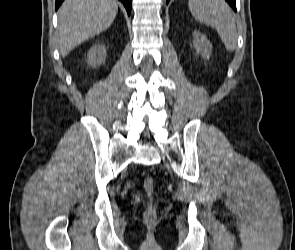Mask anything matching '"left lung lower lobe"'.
Listing matches in <instances>:
<instances>
[{
	"instance_id": "left-lung-lower-lobe-1",
	"label": "left lung lower lobe",
	"mask_w": 295,
	"mask_h": 250,
	"mask_svg": "<svg viewBox=\"0 0 295 250\" xmlns=\"http://www.w3.org/2000/svg\"><path fill=\"white\" fill-rule=\"evenodd\" d=\"M170 0H166V2L168 3ZM226 2H228L230 4V6L234 9V11H236V0H226Z\"/></svg>"
}]
</instances>
